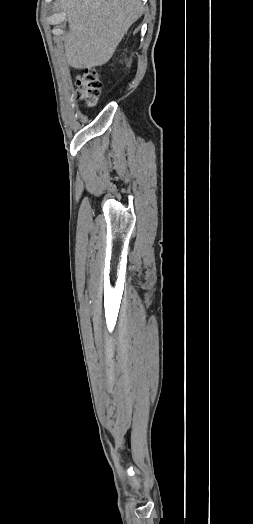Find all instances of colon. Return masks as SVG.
I'll return each mask as SVG.
<instances>
[{
  "label": "colon",
  "mask_w": 253,
  "mask_h": 524,
  "mask_svg": "<svg viewBox=\"0 0 253 524\" xmlns=\"http://www.w3.org/2000/svg\"><path fill=\"white\" fill-rule=\"evenodd\" d=\"M78 97L88 106L96 105L101 94V81L93 68L84 69L76 79Z\"/></svg>",
  "instance_id": "obj_1"
}]
</instances>
